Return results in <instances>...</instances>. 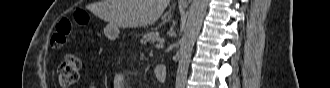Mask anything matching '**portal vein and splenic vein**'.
<instances>
[{"label": "portal vein and splenic vein", "mask_w": 330, "mask_h": 88, "mask_svg": "<svg viewBox=\"0 0 330 88\" xmlns=\"http://www.w3.org/2000/svg\"><path fill=\"white\" fill-rule=\"evenodd\" d=\"M159 43L156 44V48H162L164 46L163 41H158Z\"/></svg>", "instance_id": "18ae733b"}]
</instances>
